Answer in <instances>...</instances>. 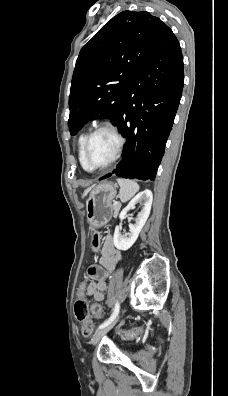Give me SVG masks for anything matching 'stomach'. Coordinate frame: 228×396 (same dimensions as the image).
<instances>
[{
    "instance_id": "stomach-1",
    "label": "stomach",
    "mask_w": 228,
    "mask_h": 396,
    "mask_svg": "<svg viewBox=\"0 0 228 396\" xmlns=\"http://www.w3.org/2000/svg\"><path fill=\"white\" fill-rule=\"evenodd\" d=\"M86 200L87 219L92 228L105 225L112 216V201L116 197V189L112 183H103L88 189Z\"/></svg>"
}]
</instances>
